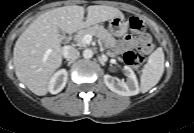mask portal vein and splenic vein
Wrapping results in <instances>:
<instances>
[{
  "instance_id": "obj_1",
  "label": "portal vein and splenic vein",
  "mask_w": 194,
  "mask_h": 133,
  "mask_svg": "<svg viewBox=\"0 0 194 133\" xmlns=\"http://www.w3.org/2000/svg\"><path fill=\"white\" fill-rule=\"evenodd\" d=\"M91 41H92V35L87 34V35H85V36L83 37V42H84L85 44H89ZM50 53H51V50H50V49L46 51V55H49Z\"/></svg>"
}]
</instances>
